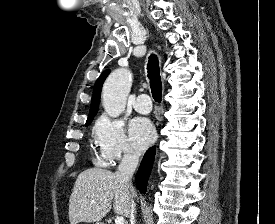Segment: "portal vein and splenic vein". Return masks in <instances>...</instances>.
I'll return each mask as SVG.
<instances>
[{
	"mask_svg": "<svg viewBox=\"0 0 275 224\" xmlns=\"http://www.w3.org/2000/svg\"><path fill=\"white\" fill-rule=\"evenodd\" d=\"M125 223V219L122 216L116 217L115 219V224H124Z\"/></svg>",
	"mask_w": 275,
	"mask_h": 224,
	"instance_id": "18ae733b",
	"label": "portal vein and splenic vein"
}]
</instances>
